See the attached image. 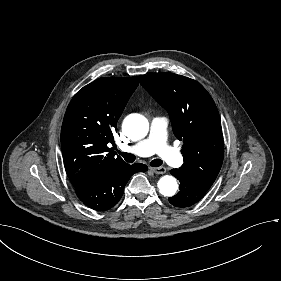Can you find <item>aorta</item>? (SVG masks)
Listing matches in <instances>:
<instances>
[{
	"label": "aorta",
	"mask_w": 281,
	"mask_h": 281,
	"mask_svg": "<svg viewBox=\"0 0 281 281\" xmlns=\"http://www.w3.org/2000/svg\"><path fill=\"white\" fill-rule=\"evenodd\" d=\"M123 130L135 140L144 138L149 130L148 120L139 114L130 115L123 124ZM160 193L165 197L174 196L178 189V184L173 176L165 175L158 182Z\"/></svg>",
	"instance_id": "aorta-1"
}]
</instances>
